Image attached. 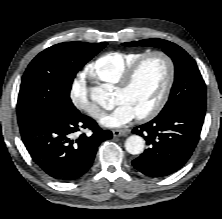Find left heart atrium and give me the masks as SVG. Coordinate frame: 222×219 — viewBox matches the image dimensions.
Segmentation results:
<instances>
[{
  "label": "left heart atrium",
  "instance_id": "39dd6f15",
  "mask_svg": "<svg viewBox=\"0 0 222 219\" xmlns=\"http://www.w3.org/2000/svg\"><path fill=\"white\" fill-rule=\"evenodd\" d=\"M137 116L129 104L119 103L112 112L102 117L100 123L104 127L120 128L130 123Z\"/></svg>",
  "mask_w": 222,
  "mask_h": 219
}]
</instances>
